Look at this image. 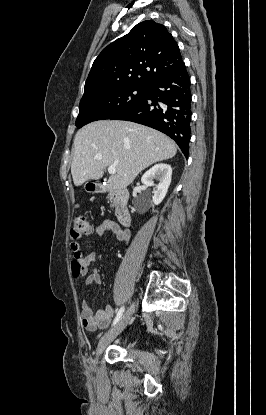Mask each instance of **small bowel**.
I'll list each match as a JSON object with an SVG mask.
<instances>
[{"instance_id": "1", "label": "small bowel", "mask_w": 266, "mask_h": 415, "mask_svg": "<svg viewBox=\"0 0 266 415\" xmlns=\"http://www.w3.org/2000/svg\"><path fill=\"white\" fill-rule=\"evenodd\" d=\"M96 233L102 236L106 233H110L116 237L120 242H129L130 232L121 229L116 223L110 220L101 222L97 228ZM71 252L74 258H77L81 264V275H85L88 268L92 267L97 260L95 253H90L86 256H82L80 245L77 242L70 244ZM86 285L101 284V276L97 268H92L85 280ZM114 315V309L111 305L106 304L103 308L98 309L95 313L92 312L89 304L86 300L81 302V318L83 325L88 330H96L98 328H104L110 322Z\"/></svg>"}]
</instances>
